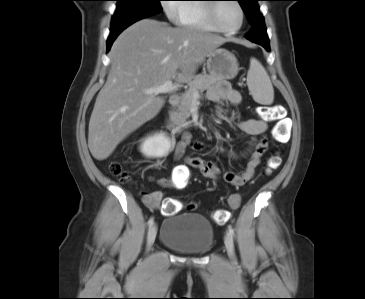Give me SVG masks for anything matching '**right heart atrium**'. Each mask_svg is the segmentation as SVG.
I'll return each mask as SVG.
<instances>
[{"label":"right heart atrium","instance_id":"right-heart-atrium-1","mask_svg":"<svg viewBox=\"0 0 365 299\" xmlns=\"http://www.w3.org/2000/svg\"><path fill=\"white\" fill-rule=\"evenodd\" d=\"M174 2L176 0H162V7L170 20H177L180 8Z\"/></svg>","mask_w":365,"mask_h":299}]
</instances>
